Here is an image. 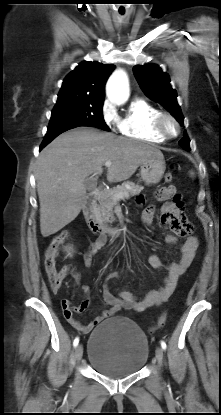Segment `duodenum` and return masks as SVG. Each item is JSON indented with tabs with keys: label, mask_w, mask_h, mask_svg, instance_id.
I'll use <instances>...</instances> for the list:
<instances>
[{
	"label": "duodenum",
	"mask_w": 221,
	"mask_h": 415,
	"mask_svg": "<svg viewBox=\"0 0 221 415\" xmlns=\"http://www.w3.org/2000/svg\"><path fill=\"white\" fill-rule=\"evenodd\" d=\"M100 195L98 189L92 191L83 206V214L89 229L98 236H117L121 234V228L107 226L101 223L96 216V202Z\"/></svg>",
	"instance_id": "410a0bca"
}]
</instances>
